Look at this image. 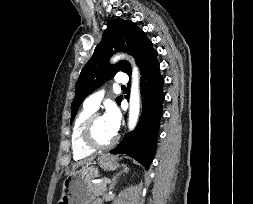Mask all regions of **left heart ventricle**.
Listing matches in <instances>:
<instances>
[{"label": "left heart ventricle", "instance_id": "1", "mask_svg": "<svg viewBox=\"0 0 253 204\" xmlns=\"http://www.w3.org/2000/svg\"><path fill=\"white\" fill-rule=\"evenodd\" d=\"M115 134L108 126L104 116L97 119L94 127V136L99 143H107Z\"/></svg>", "mask_w": 253, "mask_h": 204}]
</instances>
